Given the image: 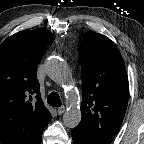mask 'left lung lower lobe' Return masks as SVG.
Listing matches in <instances>:
<instances>
[{
	"label": "left lung lower lobe",
	"instance_id": "obj_1",
	"mask_svg": "<svg viewBox=\"0 0 144 144\" xmlns=\"http://www.w3.org/2000/svg\"><path fill=\"white\" fill-rule=\"evenodd\" d=\"M71 133L74 144H110V142L90 139L77 129H73Z\"/></svg>",
	"mask_w": 144,
	"mask_h": 144
}]
</instances>
